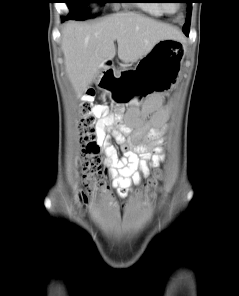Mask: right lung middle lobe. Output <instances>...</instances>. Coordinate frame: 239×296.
Instances as JSON below:
<instances>
[{
	"mask_svg": "<svg viewBox=\"0 0 239 296\" xmlns=\"http://www.w3.org/2000/svg\"><path fill=\"white\" fill-rule=\"evenodd\" d=\"M66 3L70 4L71 14L66 19L84 20L88 17L85 16L88 8L86 3H109L111 0H66Z\"/></svg>",
	"mask_w": 239,
	"mask_h": 296,
	"instance_id": "1",
	"label": "right lung middle lobe"
}]
</instances>
